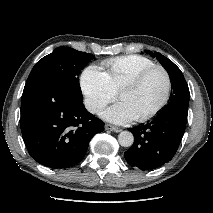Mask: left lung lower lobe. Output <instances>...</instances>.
Returning a JSON list of instances; mask_svg holds the SVG:
<instances>
[{
    "label": "left lung lower lobe",
    "instance_id": "left-lung-lower-lobe-1",
    "mask_svg": "<svg viewBox=\"0 0 213 213\" xmlns=\"http://www.w3.org/2000/svg\"><path fill=\"white\" fill-rule=\"evenodd\" d=\"M188 111L164 110L152 122L130 128L135 142L124 153L126 161L141 170L158 168L175 155L183 137Z\"/></svg>",
    "mask_w": 213,
    "mask_h": 213
}]
</instances>
